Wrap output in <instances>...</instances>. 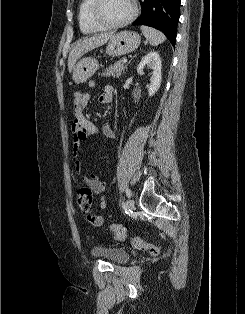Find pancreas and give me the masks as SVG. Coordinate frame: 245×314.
Listing matches in <instances>:
<instances>
[{
    "mask_svg": "<svg viewBox=\"0 0 245 314\" xmlns=\"http://www.w3.org/2000/svg\"><path fill=\"white\" fill-rule=\"evenodd\" d=\"M125 67H124V63L123 60L117 61L115 64L110 65L108 68H106L103 72H102V76L104 77H120L122 75V72H124Z\"/></svg>",
    "mask_w": 245,
    "mask_h": 314,
    "instance_id": "cf45deb5",
    "label": "pancreas"
}]
</instances>
